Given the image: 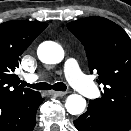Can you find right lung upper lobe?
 <instances>
[{"label": "right lung upper lobe", "mask_w": 131, "mask_h": 131, "mask_svg": "<svg viewBox=\"0 0 131 131\" xmlns=\"http://www.w3.org/2000/svg\"><path fill=\"white\" fill-rule=\"evenodd\" d=\"M44 22L8 21L0 24V97H22L36 91L19 86L14 74L20 56L47 27Z\"/></svg>", "instance_id": "obj_1"}]
</instances>
